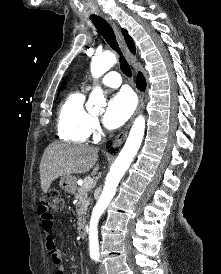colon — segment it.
Segmentation results:
<instances>
[{"instance_id": "5ec220e1", "label": "colon", "mask_w": 221, "mask_h": 274, "mask_svg": "<svg viewBox=\"0 0 221 274\" xmlns=\"http://www.w3.org/2000/svg\"><path fill=\"white\" fill-rule=\"evenodd\" d=\"M41 204L59 211L63 206V199L57 190H50L41 197Z\"/></svg>"}]
</instances>
